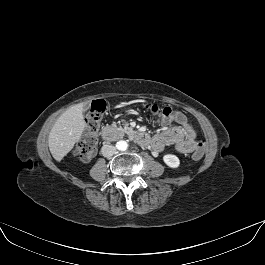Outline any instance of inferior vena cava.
Wrapping results in <instances>:
<instances>
[{
  "label": "inferior vena cava",
  "mask_w": 265,
  "mask_h": 265,
  "mask_svg": "<svg viewBox=\"0 0 265 265\" xmlns=\"http://www.w3.org/2000/svg\"><path fill=\"white\" fill-rule=\"evenodd\" d=\"M101 153L104 157H111L116 153V148L112 145L106 144L102 146Z\"/></svg>",
  "instance_id": "inferior-vena-cava-1"
}]
</instances>
